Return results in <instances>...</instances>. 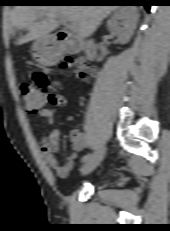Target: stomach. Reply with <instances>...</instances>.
Instances as JSON below:
<instances>
[{"instance_id": "1", "label": "stomach", "mask_w": 170, "mask_h": 231, "mask_svg": "<svg viewBox=\"0 0 170 231\" xmlns=\"http://www.w3.org/2000/svg\"><path fill=\"white\" fill-rule=\"evenodd\" d=\"M31 50L33 58L40 64L53 65L58 61V55L53 47L50 46L47 37L35 40Z\"/></svg>"}]
</instances>
